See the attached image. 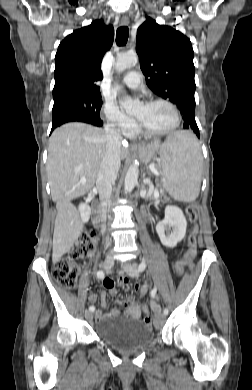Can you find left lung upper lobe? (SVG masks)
<instances>
[{
  "instance_id": "1",
  "label": "left lung upper lobe",
  "mask_w": 252,
  "mask_h": 390,
  "mask_svg": "<svg viewBox=\"0 0 252 390\" xmlns=\"http://www.w3.org/2000/svg\"><path fill=\"white\" fill-rule=\"evenodd\" d=\"M136 51L148 87L179 108L183 118L195 116V67L190 40L181 32L147 17L138 28Z\"/></svg>"
}]
</instances>
